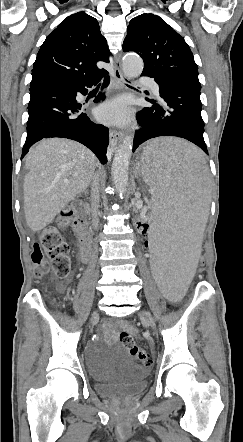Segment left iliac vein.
Masks as SVG:
<instances>
[{"label":"left iliac vein","instance_id":"left-iliac-vein-1","mask_svg":"<svg viewBox=\"0 0 243 442\" xmlns=\"http://www.w3.org/2000/svg\"><path fill=\"white\" fill-rule=\"evenodd\" d=\"M139 316L140 318L147 323V325L151 328V329H155L156 328V324L155 321L153 319V317L151 316V314L147 311L141 310L139 312Z\"/></svg>","mask_w":243,"mask_h":442}]
</instances>
